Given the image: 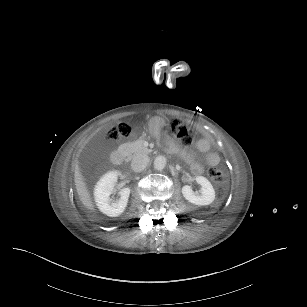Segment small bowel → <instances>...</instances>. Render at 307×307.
I'll return each instance as SVG.
<instances>
[{"instance_id":"small-bowel-1","label":"small bowel","mask_w":307,"mask_h":307,"mask_svg":"<svg viewBox=\"0 0 307 307\" xmlns=\"http://www.w3.org/2000/svg\"><path fill=\"white\" fill-rule=\"evenodd\" d=\"M196 150L202 155V160L198 159L193 153L186 154L187 162L191 166L194 174L200 175L204 171V164L214 166L219 164L220 157L217 153L211 151V141L208 138H201L195 145Z\"/></svg>"}]
</instances>
